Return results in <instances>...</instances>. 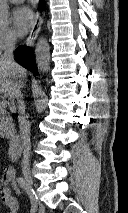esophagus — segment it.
Here are the masks:
<instances>
[{"mask_svg": "<svg viewBox=\"0 0 128 213\" xmlns=\"http://www.w3.org/2000/svg\"><path fill=\"white\" fill-rule=\"evenodd\" d=\"M43 23V16L42 13L40 11H37L36 13V18L34 21V24L30 30L29 36L26 40V45L27 46H32L40 32L41 29V25Z\"/></svg>", "mask_w": 128, "mask_h": 213, "instance_id": "34e87169", "label": "esophagus"}]
</instances>
